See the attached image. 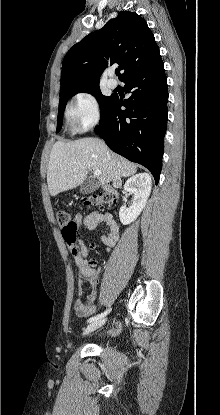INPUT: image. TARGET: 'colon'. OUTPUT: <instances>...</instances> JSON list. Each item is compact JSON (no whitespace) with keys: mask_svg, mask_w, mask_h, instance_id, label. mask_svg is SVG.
<instances>
[{"mask_svg":"<svg viewBox=\"0 0 220 415\" xmlns=\"http://www.w3.org/2000/svg\"><path fill=\"white\" fill-rule=\"evenodd\" d=\"M114 196L107 192H99L85 200L87 206L109 207L114 203ZM55 220L62 228L63 233L73 234L75 232V223L70 213L66 210H57L55 212Z\"/></svg>","mask_w":220,"mask_h":415,"instance_id":"5ec220e1","label":"colon"}]
</instances>
